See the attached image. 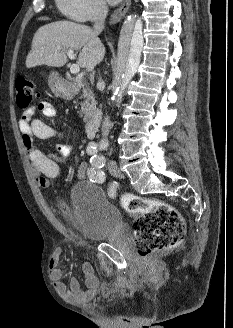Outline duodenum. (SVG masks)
<instances>
[{
    "label": "duodenum",
    "instance_id": "duodenum-1",
    "mask_svg": "<svg viewBox=\"0 0 233 328\" xmlns=\"http://www.w3.org/2000/svg\"><path fill=\"white\" fill-rule=\"evenodd\" d=\"M98 127V122L95 116H92L87 122L88 135L94 136Z\"/></svg>",
    "mask_w": 233,
    "mask_h": 328
}]
</instances>
